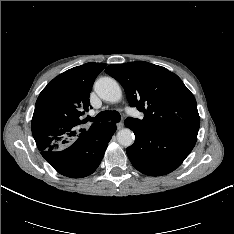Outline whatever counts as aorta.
<instances>
[{"instance_id":"obj_1","label":"aorta","mask_w":234,"mask_h":234,"mask_svg":"<svg viewBox=\"0 0 234 234\" xmlns=\"http://www.w3.org/2000/svg\"><path fill=\"white\" fill-rule=\"evenodd\" d=\"M95 92L98 96L108 102L116 103L122 98V91L117 81L110 77H102L95 82ZM117 141L120 145L128 147L134 143V134L128 129L124 128L118 131Z\"/></svg>"}]
</instances>
